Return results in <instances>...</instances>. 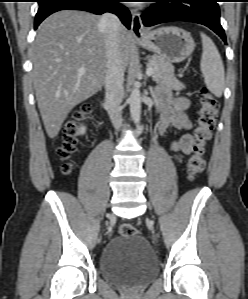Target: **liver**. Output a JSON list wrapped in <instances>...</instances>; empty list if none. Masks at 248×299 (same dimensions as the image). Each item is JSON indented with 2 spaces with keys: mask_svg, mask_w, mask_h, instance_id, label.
<instances>
[{
  "mask_svg": "<svg viewBox=\"0 0 248 299\" xmlns=\"http://www.w3.org/2000/svg\"><path fill=\"white\" fill-rule=\"evenodd\" d=\"M101 17L63 10L46 18L31 48L33 83L38 108L50 138H55L69 112L99 91L107 71L106 44L99 28ZM119 57L126 69L134 42L120 25ZM84 68L85 72L79 70Z\"/></svg>",
  "mask_w": 248,
  "mask_h": 299,
  "instance_id": "1",
  "label": "liver"
}]
</instances>
